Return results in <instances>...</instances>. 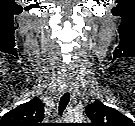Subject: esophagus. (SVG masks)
<instances>
[{
    "label": "esophagus",
    "mask_w": 135,
    "mask_h": 126,
    "mask_svg": "<svg viewBox=\"0 0 135 126\" xmlns=\"http://www.w3.org/2000/svg\"><path fill=\"white\" fill-rule=\"evenodd\" d=\"M72 89H73L72 85H67L65 91L68 93H72ZM71 100L73 103L75 102V96L73 94L71 95Z\"/></svg>",
    "instance_id": "obj_1"
}]
</instances>
